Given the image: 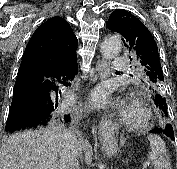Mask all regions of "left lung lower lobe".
I'll list each match as a JSON object with an SVG mask.
<instances>
[{"instance_id":"1","label":"left lung lower lobe","mask_w":177,"mask_h":169,"mask_svg":"<svg viewBox=\"0 0 177 169\" xmlns=\"http://www.w3.org/2000/svg\"><path fill=\"white\" fill-rule=\"evenodd\" d=\"M155 103L157 105H160V103H161V97L160 96L155 97ZM150 132L151 133H157V134H164V135L168 136L170 139L175 140L173 128L170 129L169 125L164 126V127L162 126V127L155 128V129L151 130Z\"/></svg>"}]
</instances>
